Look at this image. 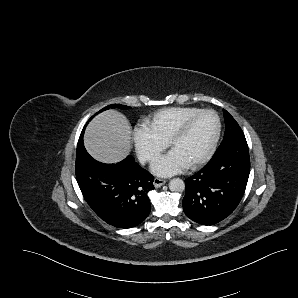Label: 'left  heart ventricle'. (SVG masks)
I'll return each instance as SVG.
<instances>
[{
	"mask_svg": "<svg viewBox=\"0 0 298 298\" xmlns=\"http://www.w3.org/2000/svg\"><path fill=\"white\" fill-rule=\"evenodd\" d=\"M214 132L215 123L212 116H200L184 130L172 144L170 151L190 165L205 152Z\"/></svg>",
	"mask_w": 298,
	"mask_h": 298,
	"instance_id": "left-heart-ventricle-1",
	"label": "left heart ventricle"
}]
</instances>
